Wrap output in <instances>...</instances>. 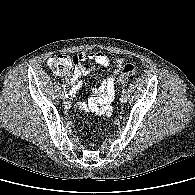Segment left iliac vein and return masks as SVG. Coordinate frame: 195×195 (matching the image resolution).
Wrapping results in <instances>:
<instances>
[{"instance_id":"1","label":"left iliac vein","mask_w":195,"mask_h":195,"mask_svg":"<svg viewBox=\"0 0 195 195\" xmlns=\"http://www.w3.org/2000/svg\"><path fill=\"white\" fill-rule=\"evenodd\" d=\"M127 99H128L127 95L126 94H122L121 97H120V102L122 104H124V103L127 102Z\"/></svg>"}]
</instances>
